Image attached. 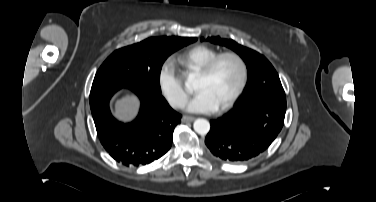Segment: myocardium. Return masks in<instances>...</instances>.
I'll list each match as a JSON object with an SVG mask.
<instances>
[{
    "mask_svg": "<svg viewBox=\"0 0 376 202\" xmlns=\"http://www.w3.org/2000/svg\"><path fill=\"white\" fill-rule=\"evenodd\" d=\"M224 58H231L236 61L240 69V81L239 84L234 91V93L230 96V98L220 107L217 108V111L222 112L228 110L233 104L237 101L240 95L243 93L247 82H248V66L245 59L236 52H222L214 56L210 59L199 71L198 76L200 77H208L214 71L216 65Z\"/></svg>",
    "mask_w": 376,
    "mask_h": 202,
    "instance_id": "obj_1",
    "label": "myocardium"
}]
</instances>
